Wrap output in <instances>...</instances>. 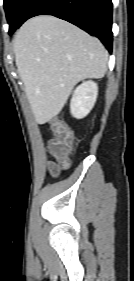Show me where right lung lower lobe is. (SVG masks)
Instances as JSON below:
<instances>
[{"instance_id": "98d812e1", "label": "right lung lower lobe", "mask_w": 134, "mask_h": 281, "mask_svg": "<svg viewBox=\"0 0 134 281\" xmlns=\"http://www.w3.org/2000/svg\"><path fill=\"white\" fill-rule=\"evenodd\" d=\"M37 15H53L98 37L112 51V0H30L20 25Z\"/></svg>"}]
</instances>
